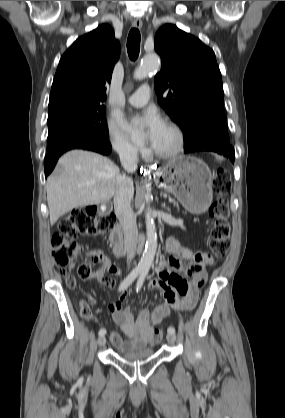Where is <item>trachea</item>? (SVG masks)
Wrapping results in <instances>:
<instances>
[{
  "mask_svg": "<svg viewBox=\"0 0 285 418\" xmlns=\"http://www.w3.org/2000/svg\"><path fill=\"white\" fill-rule=\"evenodd\" d=\"M127 51L131 60H136L140 51V32L133 28L127 39Z\"/></svg>",
  "mask_w": 285,
  "mask_h": 418,
  "instance_id": "obj_1",
  "label": "trachea"
}]
</instances>
